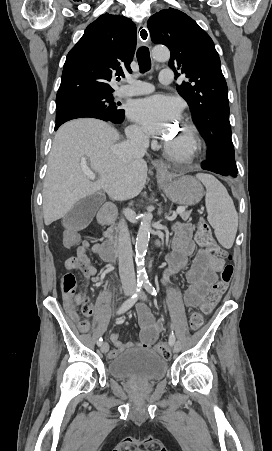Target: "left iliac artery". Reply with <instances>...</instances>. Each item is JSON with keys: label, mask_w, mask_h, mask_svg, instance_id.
Instances as JSON below:
<instances>
[{"label": "left iliac artery", "mask_w": 272, "mask_h": 451, "mask_svg": "<svg viewBox=\"0 0 272 451\" xmlns=\"http://www.w3.org/2000/svg\"><path fill=\"white\" fill-rule=\"evenodd\" d=\"M144 288L149 294H151L153 296L157 295L156 289L154 288V286L151 284V282L149 280L144 281ZM175 340H176L175 335L172 331V333L170 334V337H169V345L172 346L175 343Z\"/></svg>", "instance_id": "44dca946"}]
</instances>
